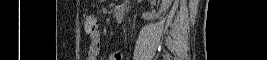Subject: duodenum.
Returning <instances> with one entry per match:
<instances>
[{
  "label": "duodenum",
  "instance_id": "1",
  "mask_svg": "<svg viewBox=\"0 0 267 60\" xmlns=\"http://www.w3.org/2000/svg\"><path fill=\"white\" fill-rule=\"evenodd\" d=\"M114 15H115L116 20L122 21L124 18V8L116 7L114 10Z\"/></svg>",
  "mask_w": 267,
  "mask_h": 60
}]
</instances>
